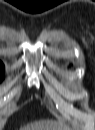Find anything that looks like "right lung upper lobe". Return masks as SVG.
Wrapping results in <instances>:
<instances>
[{"mask_svg":"<svg viewBox=\"0 0 95 130\" xmlns=\"http://www.w3.org/2000/svg\"><path fill=\"white\" fill-rule=\"evenodd\" d=\"M1 68H3V64L1 63Z\"/></svg>","mask_w":95,"mask_h":130,"instance_id":"obj_1","label":"right lung upper lobe"}]
</instances>
